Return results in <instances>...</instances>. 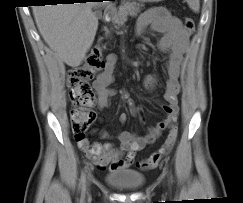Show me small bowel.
<instances>
[{
	"mask_svg": "<svg viewBox=\"0 0 243 203\" xmlns=\"http://www.w3.org/2000/svg\"><path fill=\"white\" fill-rule=\"evenodd\" d=\"M149 26L154 31L163 34L158 43V48L162 53L169 55L165 64L167 80L164 99L166 103L161 105L166 116L156 125L149 127L144 135L121 131L118 135L119 147L108 142L91 144L87 139L79 142L80 150L99 169L108 167L111 171H115L128 167L134 162L138 151L151 144L163 130L177 120L179 112L177 96L180 90L178 80L185 56L189 50V36L181 21L163 7H152L139 17L135 29L136 35L141 36ZM116 63L117 56L113 53L109 54L106 58L104 70L98 74L94 81V88L98 95V108L100 110L109 108L111 98L119 93L126 101L132 114L142 116V109L134 104L126 91L110 88ZM144 83L147 88L152 89L156 84V78L153 75H146ZM127 118L125 113L119 115V121L122 124L127 122Z\"/></svg>",
	"mask_w": 243,
	"mask_h": 203,
	"instance_id": "obj_1",
	"label": "small bowel"
}]
</instances>
